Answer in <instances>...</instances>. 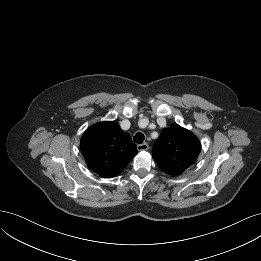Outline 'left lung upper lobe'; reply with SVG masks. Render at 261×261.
<instances>
[{"label":"left lung upper lobe","instance_id":"1","mask_svg":"<svg viewBox=\"0 0 261 261\" xmlns=\"http://www.w3.org/2000/svg\"><path fill=\"white\" fill-rule=\"evenodd\" d=\"M201 150L198 138L189 130L172 125L162 130L152 149V157L165 173L176 176L195 163Z\"/></svg>","mask_w":261,"mask_h":261}]
</instances>
